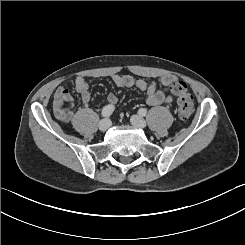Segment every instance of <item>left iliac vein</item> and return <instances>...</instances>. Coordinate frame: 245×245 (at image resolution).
Here are the masks:
<instances>
[{
  "label": "left iliac vein",
  "instance_id": "left-iliac-vein-1",
  "mask_svg": "<svg viewBox=\"0 0 245 245\" xmlns=\"http://www.w3.org/2000/svg\"><path fill=\"white\" fill-rule=\"evenodd\" d=\"M130 120L131 123L137 128L143 129L146 126V121L139 115H132Z\"/></svg>",
  "mask_w": 245,
  "mask_h": 245
}]
</instances>
